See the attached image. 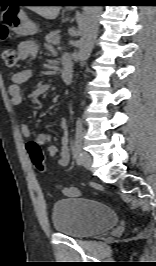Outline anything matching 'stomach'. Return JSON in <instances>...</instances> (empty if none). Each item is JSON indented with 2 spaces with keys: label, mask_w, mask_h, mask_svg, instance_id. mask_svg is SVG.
Listing matches in <instances>:
<instances>
[{
  "label": "stomach",
  "mask_w": 156,
  "mask_h": 266,
  "mask_svg": "<svg viewBox=\"0 0 156 266\" xmlns=\"http://www.w3.org/2000/svg\"><path fill=\"white\" fill-rule=\"evenodd\" d=\"M9 28L19 35L27 36L34 34L38 31L35 24L28 21L24 13L17 10L9 20H7Z\"/></svg>",
  "instance_id": "stomach-1"
}]
</instances>
